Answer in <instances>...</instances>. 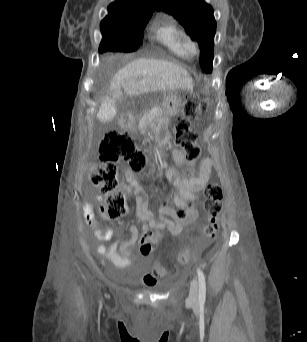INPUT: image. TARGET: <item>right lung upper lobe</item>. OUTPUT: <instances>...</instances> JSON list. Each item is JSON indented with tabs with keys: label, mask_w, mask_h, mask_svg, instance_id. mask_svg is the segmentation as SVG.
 Wrapping results in <instances>:
<instances>
[{
	"label": "right lung upper lobe",
	"mask_w": 307,
	"mask_h": 342,
	"mask_svg": "<svg viewBox=\"0 0 307 342\" xmlns=\"http://www.w3.org/2000/svg\"><path fill=\"white\" fill-rule=\"evenodd\" d=\"M157 0H117L108 6L100 29L105 34L142 35Z\"/></svg>",
	"instance_id": "cb5924a9"
}]
</instances>
